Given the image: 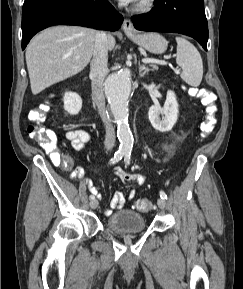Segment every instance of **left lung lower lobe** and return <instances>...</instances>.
I'll list each match as a JSON object with an SVG mask.
<instances>
[{
  "mask_svg": "<svg viewBox=\"0 0 243 289\" xmlns=\"http://www.w3.org/2000/svg\"><path fill=\"white\" fill-rule=\"evenodd\" d=\"M146 14L132 17L134 27L143 31L181 33L196 39L207 50L208 24L204 0H155Z\"/></svg>",
  "mask_w": 243,
  "mask_h": 289,
  "instance_id": "obj_1",
  "label": "left lung lower lobe"
}]
</instances>
